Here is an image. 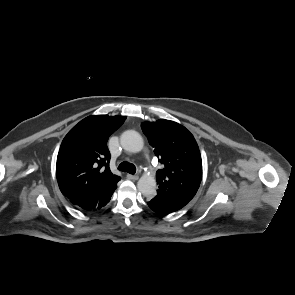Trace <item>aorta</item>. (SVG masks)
<instances>
[{
  "label": "aorta",
  "instance_id": "aorta-1",
  "mask_svg": "<svg viewBox=\"0 0 295 295\" xmlns=\"http://www.w3.org/2000/svg\"><path fill=\"white\" fill-rule=\"evenodd\" d=\"M120 143L124 150L131 153L140 152L144 146L142 136L134 130L123 132ZM137 188L145 197H153L156 190V180L152 175L144 174L138 180Z\"/></svg>",
  "mask_w": 295,
  "mask_h": 295
}]
</instances>
